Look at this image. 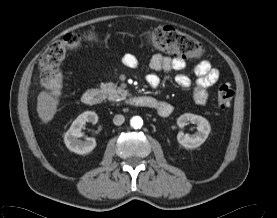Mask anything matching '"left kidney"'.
<instances>
[{
    "instance_id": "1",
    "label": "left kidney",
    "mask_w": 277,
    "mask_h": 218,
    "mask_svg": "<svg viewBox=\"0 0 277 218\" xmlns=\"http://www.w3.org/2000/svg\"><path fill=\"white\" fill-rule=\"evenodd\" d=\"M190 122L196 124L198 131L192 135L184 134L182 131H180L177 135V140L183 147L192 149L199 147L205 142L211 128L208 120L199 115L185 113L177 119V125L180 128H183Z\"/></svg>"
}]
</instances>
